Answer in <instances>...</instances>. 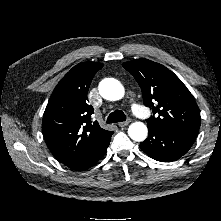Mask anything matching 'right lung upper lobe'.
Returning a JSON list of instances; mask_svg holds the SVG:
<instances>
[{
    "mask_svg": "<svg viewBox=\"0 0 221 221\" xmlns=\"http://www.w3.org/2000/svg\"><path fill=\"white\" fill-rule=\"evenodd\" d=\"M102 63L82 62L74 66L55 87L42 121L48 148L64 165L87 156L113 134L91 121L93 107L87 103L91 81Z\"/></svg>",
    "mask_w": 221,
    "mask_h": 221,
    "instance_id": "cb5924a9",
    "label": "right lung upper lobe"
}]
</instances>
